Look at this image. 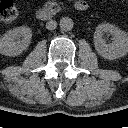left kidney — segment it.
<instances>
[{
  "label": "left kidney",
  "instance_id": "5707ae66",
  "mask_svg": "<svg viewBox=\"0 0 128 128\" xmlns=\"http://www.w3.org/2000/svg\"><path fill=\"white\" fill-rule=\"evenodd\" d=\"M105 33L112 35L111 43H106ZM94 46L97 53L105 59L121 58L128 53V34L112 24H99L94 33Z\"/></svg>",
  "mask_w": 128,
  "mask_h": 128
}]
</instances>
